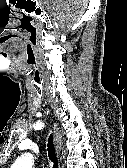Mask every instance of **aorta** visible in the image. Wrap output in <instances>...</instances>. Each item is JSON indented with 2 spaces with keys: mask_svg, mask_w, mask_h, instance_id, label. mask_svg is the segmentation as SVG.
I'll list each match as a JSON object with an SVG mask.
<instances>
[{
  "mask_svg": "<svg viewBox=\"0 0 127 168\" xmlns=\"http://www.w3.org/2000/svg\"><path fill=\"white\" fill-rule=\"evenodd\" d=\"M33 161L30 154L20 157L11 168H32Z\"/></svg>",
  "mask_w": 127,
  "mask_h": 168,
  "instance_id": "obj_1",
  "label": "aorta"
}]
</instances>
